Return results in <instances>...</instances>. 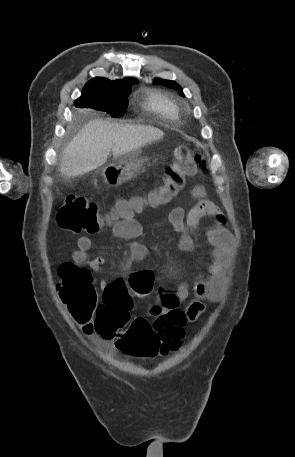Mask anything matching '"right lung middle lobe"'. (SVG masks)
<instances>
[{
    "mask_svg": "<svg viewBox=\"0 0 295 457\" xmlns=\"http://www.w3.org/2000/svg\"><path fill=\"white\" fill-rule=\"evenodd\" d=\"M130 91L131 87L115 91L83 89L82 96L75 101V105L104 111L112 117H120L127 109Z\"/></svg>",
    "mask_w": 295,
    "mask_h": 457,
    "instance_id": "right-lung-middle-lobe-1",
    "label": "right lung middle lobe"
}]
</instances>
